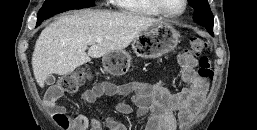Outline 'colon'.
I'll list each match as a JSON object with an SVG mask.
<instances>
[{
    "label": "colon",
    "instance_id": "colon-1",
    "mask_svg": "<svg viewBox=\"0 0 257 130\" xmlns=\"http://www.w3.org/2000/svg\"><path fill=\"white\" fill-rule=\"evenodd\" d=\"M190 49L193 54L201 55L207 49V43L203 39L193 36L190 39ZM198 74L205 80L213 78V70L210 60L202 56L199 60ZM89 78V73L86 70H76L61 77L58 82L50 88V94L53 97H58L62 93H73ZM55 120L59 126L66 129L69 126V119L64 113L55 114Z\"/></svg>",
    "mask_w": 257,
    "mask_h": 130
}]
</instances>
